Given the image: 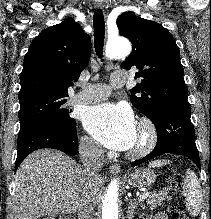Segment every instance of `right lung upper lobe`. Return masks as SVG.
Instances as JSON below:
<instances>
[{"mask_svg":"<svg viewBox=\"0 0 211 219\" xmlns=\"http://www.w3.org/2000/svg\"><path fill=\"white\" fill-rule=\"evenodd\" d=\"M91 39L73 19L44 29L31 43L20 75L19 101L68 97L87 66Z\"/></svg>","mask_w":211,"mask_h":219,"instance_id":"cb5924a9","label":"right lung upper lobe"}]
</instances>
